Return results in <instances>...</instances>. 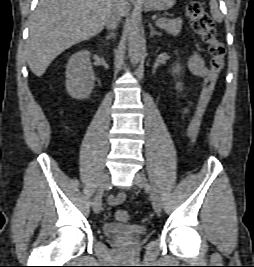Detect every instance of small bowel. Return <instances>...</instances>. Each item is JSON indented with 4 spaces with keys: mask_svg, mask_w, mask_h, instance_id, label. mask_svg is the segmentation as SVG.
I'll return each instance as SVG.
<instances>
[{
    "mask_svg": "<svg viewBox=\"0 0 254 267\" xmlns=\"http://www.w3.org/2000/svg\"><path fill=\"white\" fill-rule=\"evenodd\" d=\"M188 66L191 73L194 74L195 76L204 77L207 74L208 69L205 65V62L197 52H193V54L189 58ZM178 93L179 95L184 96L186 94V91L184 88H181ZM190 106L191 105H188L187 107L184 108L183 112L185 114L189 113ZM125 198H126L125 193L121 192L115 196H110L108 198V202L110 205L116 206L123 203L125 201Z\"/></svg>",
    "mask_w": 254,
    "mask_h": 267,
    "instance_id": "small-bowel-1",
    "label": "small bowel"
}]
</instances>
